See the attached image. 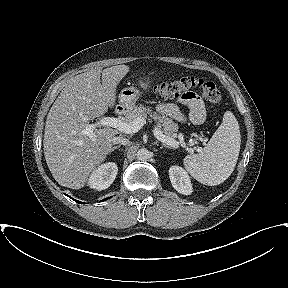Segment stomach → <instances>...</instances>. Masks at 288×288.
<instances>
[{
  "label": "stomach",
  "instance_id": "obj_1",
  "mask_svg": "<svg viewBox=\"0 0 288 288\" xmlns=\"http://www.w3.org/2000/svg\"><path fill=\"white\" fill-rule=\"evenodd\" d=\"M138 82L143 89H147L151 83L148 76L139 78ZM141 93L140 89L134 86L124 88L119 94V104L117 105V108L123 112L132 110L135 107L136 101L141 96Z\"/></svg>",
  "mask_w": 288,
  "mask_h": 288
}]
</instances>
